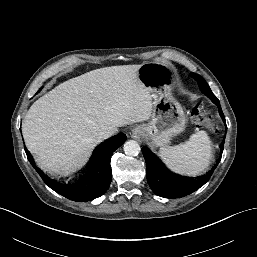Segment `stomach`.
<instances>
[{
  "mask_svg": "<svg viewBox=\"0 0 257 257\" xmlns=\"http://www.w3.org/2000/svg\"><path fill=\"white\" fill-rule=\"evenodd\" d=\"M137 76L153 95L150 121L138 128L143 138L155 147L168 146L173 137L185 130L187 123L182 106L173 96L176 70L166 61H150L138 66Z\"/></svg>",
  "mask_w": 257,
  "mask_h": 257,
  "instance_id": "0dacf381",
  "label": "stomach"
}]
</instances>
